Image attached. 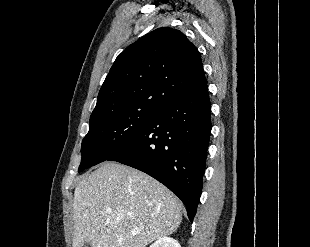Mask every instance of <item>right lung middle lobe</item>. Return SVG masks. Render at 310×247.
<instances>
[{"mask_svg": "<svg viewBox=\"0 0 310 247\" xmlns=\"http://www.w3.org/2000/svg\"><path fill=\"white\" fill-rule=\"evenodd\" d=\"M156 112L153 108H128L90 118L89 132L82 141L79 172L123 149Z\"/></svg>", "mask_w": 310, "mask_h": 247, "instance_id": "right-lung-middle-lobe-1", "label": "right lung middle lobe"}]
</instances>
